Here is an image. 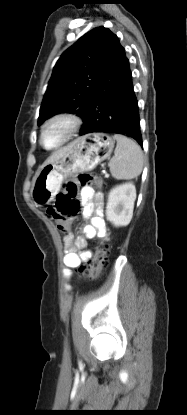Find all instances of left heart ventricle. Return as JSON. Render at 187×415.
Instances as JSON below:
<instances>
[{
  "mask_svg": "<svg viewBox=\"0 0 187 415\" xmlns=\"http://www.w3.org/2000/svg\"><path fill=\"white\" fill-rule=\"evenodd\" d=\"M67 125L63 122H56L48 127L44 134V143L46 146H54L65 136Z\"/></svg>",
  "mask_w": 187,
  "mask_h": 415,
  "instance_id": "obj_1",
  "label": "left heart ventricle"
}]
</instances>
